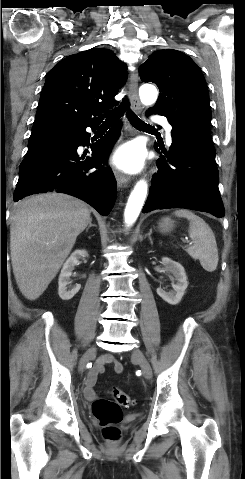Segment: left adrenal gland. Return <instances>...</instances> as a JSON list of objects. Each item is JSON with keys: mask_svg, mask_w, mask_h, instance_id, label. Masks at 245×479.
<instances>
[{"mask_svg": "<svg viewBox=\"0 0 245 479\" xmlns=\"http://www.w3.org/2000/svg\"><path fill=\"white\" fill-rule=\"evenodd\" d=\"M151 233H152V229H150L149 233H147L145 235V237H148L149 241H150V244H153V241H152V238H151Z\"/></svg>", "mask_w": 245, "mask_h": 479, "instance_id": "1", "label": "left adrenal gland"}]
</instances>
